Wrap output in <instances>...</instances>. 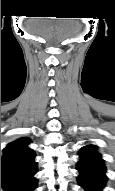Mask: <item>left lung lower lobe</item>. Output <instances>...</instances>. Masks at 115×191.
<instances>
[{
	"mask_svg": "<svg viewBox=\"0 0 115 191\" xmlns=\"http://www.w3.org/2000/svg\"><path fill=\"white\" fill-rule=\"evenodd\" d=\"M77 169L79 184L85 191H102L107 180L104 162L94 159H80Z\"/></svg>",
	"mask_w": 115,
	"mask_h": 191,
	"instance_id": "0a47b994",
	"label": "left lung lower lobe"
}]
</instances>
